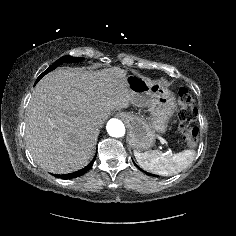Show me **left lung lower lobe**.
I'll return each mask as SVG.
<instances>
[{
  "label": "left lung lower lobe",
  "instance_id": "obj_1",
  "mask_svg": "<svg viewBox=\"0 0 236 236\" xmlns=\"http://www.w3.org/2000/svg\"><path fill=\"white\" fill-rule=\"evenodd\" d=\"M147 175H149V176H150V175H153V174L147 173Z\"/></svg>",
  "mask_w": 236,
  "mask_h": 236
}]
</instances>
